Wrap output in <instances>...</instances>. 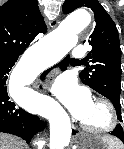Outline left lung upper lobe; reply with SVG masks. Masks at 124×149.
Masks as SVG:
<instances>
[{
  "mask_svg": "<svg viewBox=\"0 0 124 149\" xmlns=\"http://www.w3.org/2000/svg\"><path fill=\"white\" fill-rule=\"evenodd\" d=\"M89 7L95 15V28L86 39L92 50L85 60L87 68L80 73L83 84L111 100L119 121L121 117V48L115 23L97 0H65L62 10L68 14Z\"/></svg>",
  "mask_w": 124,
  "mask_h": 149,
  "instance_id": "obj_1",
  "label": "left lung upper lobe"
}]
</instances>
